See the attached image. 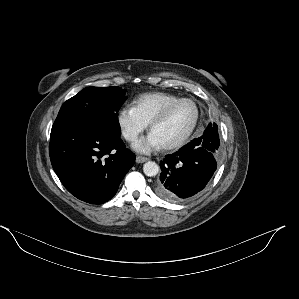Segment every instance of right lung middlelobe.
Segmentation results:
<instances>
[{"label":"right lung middle lobe","mask_w":299,"mask_h":299,"mask_svg":"<svg viewBox=\"0 0 299 299\" xmlns=\"http://www.w3.org/2000/svg\"><path fill=\"white\" fill-rule=\"evenodd\" d=\"M125 90L87 87L67 100L52 126L51 137L74 129L99 130L121 135L117 112L124 103Z\"/></svg>","instance_id":"right-lung-middle-lobe-1"}]
</instances>
